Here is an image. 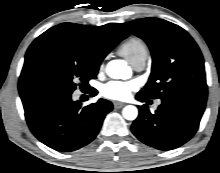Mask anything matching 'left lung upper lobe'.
Masks as SVG:
<instances>
[{"label": "left lung upper lobe", "instance_id": "left-lung-upper-lobe-1", "mask_svg": "<svg viewBox=\"0 0 220 173\" xmlns=\"http://www.w3.org/2000/svg\"><path fill=\"white\" fill-rule=\"evenodd\" d=\"M120 25L142 38L151 50L152 72L139 95L150 99L185 98L206 102L203 57L183 28L152 17Z\"/></svg>", "mask_w": 220, "mask_h": 173}]
</instances>
